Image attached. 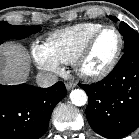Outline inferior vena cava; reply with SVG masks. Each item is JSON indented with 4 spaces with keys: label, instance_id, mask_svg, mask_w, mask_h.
<instances>
[{
    "label": "inferior vena cava",
    "instance_id": "602c4592",
    "mask_svg": "<svg viewBox=\"0 0 139 139\" xmlns=\"http://www.w3.org/2000/svg\"><path fill=\"white\" fill-rule=\"evenodd\" d=\"M58 81L56 74L52 72H39L36 76V82L39 87L47 88Z\"/></svg>",
    "mask_w": 139,
    "mask_h": 139
}]
</instances>
